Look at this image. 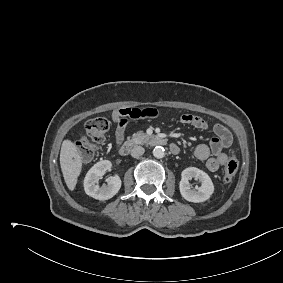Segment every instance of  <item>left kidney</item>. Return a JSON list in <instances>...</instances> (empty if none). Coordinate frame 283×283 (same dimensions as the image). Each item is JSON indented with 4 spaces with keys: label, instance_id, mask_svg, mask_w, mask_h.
I'll return each mask as SVG.
<instances>
[{
    "label": "left kidney",
    "instance_id": "5707ae66",
    "mask_svg": "<svg viewBox=\"0 0 283 283\" xmlns=\"http://www.w3.org/2000/svg\"><path fill=\"white\" fill-rule=\"evenodd\" d=\"M182 178L179 183V189L182 197L194 203H200L208 200L214 192V185L211 178L204 171L196 167H188L182 171ZM195 178L201 185L191 189L189 180Z\"/></svg>",
    "mask_w": 283,
    "mask_h": 283
}]
</instances>
